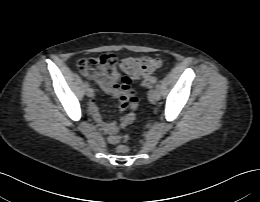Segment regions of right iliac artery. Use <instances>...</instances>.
I'll use <instances>...</instances> for the list:
<instances>
[{"label":"right iliac artery","instance_id":"82829eb1","mask_svg":"<svg viewBox=\"0 0 260 202\" xmlns=\"http://www.w3.org/2000/svg\"><path fill=\"white\" fill-rule=\"evenodd\" d=\"M84 86H85L86 88H88V87H89V83H88V82H85Z\"/></svg>","mask_w":260,"mask_h":202}]
</instances>
